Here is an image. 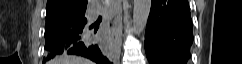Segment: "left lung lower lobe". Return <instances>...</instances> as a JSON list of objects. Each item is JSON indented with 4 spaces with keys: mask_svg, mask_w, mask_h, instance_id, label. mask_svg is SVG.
I'll return each mask as SVG.
<instances>
[{
    "mask_svg": "<svg viewBox=\"0 0 242 64\" xmlns=\"http://www.w3.org/2000/svg\"><path fill=\"white\" fill-rule=\"evenodd\" d=\"M193 43L188 0H152L145 32L150 64H186Z\"/></svg>",
    "mask_w": 242,
    "mask_h": 64,
    "instance_id": "1",
    "label": "left lung lower lobe"
}]
</instances>
